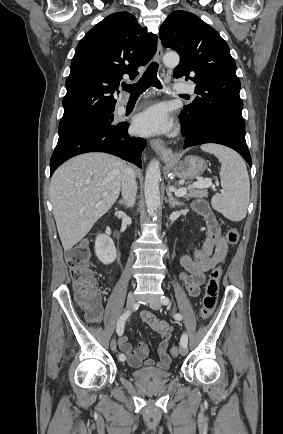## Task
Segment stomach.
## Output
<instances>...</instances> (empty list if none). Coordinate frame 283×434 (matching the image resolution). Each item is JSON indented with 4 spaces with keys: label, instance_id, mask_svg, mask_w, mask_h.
I'll list each match as a JSON object with an SVG mask.
<instances>
[{
    "label": "stomach",
    "instance_id": "stomach-1",
    "mask_svg": "<svg viewBox=\"0 0 283 434\" xmlns=\"http://www.w3.org/2000/svg\"><path fill=\"white\" fill-rule=\"evenodd\" d=\"M205 168L206 164L202 158L188 156L183 161L174 164L173 172L180 179L193 180L201 175Z\"/></svg>",
    "mask_w": 283,
    "mask_h": 434
}]
</instances>
